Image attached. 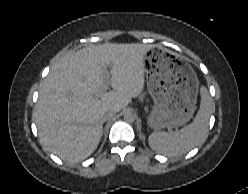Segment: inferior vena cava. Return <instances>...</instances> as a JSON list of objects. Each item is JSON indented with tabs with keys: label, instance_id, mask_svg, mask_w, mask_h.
Here are the masks:
<instances>
[{
	"label": "inferior vena cava",
	"instance_id": "inferior-vena-cava-1",
	"mask_svg": "<svg viewBox=\"0 0 248 194\" xmlns=\"http://www.w3.org/2000/svg\"><path fill=\"white\" fill-rule=\"evenodd\" d=\"M115 113H116L115 110H109V111H107L105 113V115H104V120L107 121V120L112 119L115 116Z\"/></svg>",
	"mask_w": 248,
	"mask_h": 194
}]
</instances>
